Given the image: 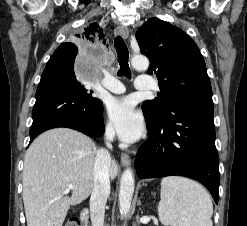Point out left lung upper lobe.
I'll list each match as a JSON object with an SVG mask.
<instances>
[{"instance_id":"5c2ea615","label":"left lung upper lobe","mask_w":247,"mask_h":226,"mask_svg":"<svg viewBox=\"0 0 247 226\" xmlns=\"http://www.w3.org/2000/svg\"><path fill=\"white\" fill-rule=\"evenodd\" d=\"M136 39L141 53L150 60L149 73L156 74L161 90L158 98L143 102L146 120H162L188 98L212 97L203 56L189 35L152 18L138 29Z\"/></svg>"}]
</instances>
